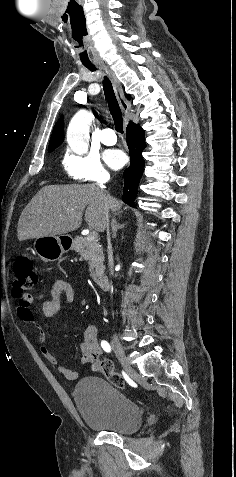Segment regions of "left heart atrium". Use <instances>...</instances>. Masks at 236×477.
<instances>
[{
  "instance_id": "left-heart-atrium-1",
  "label": "left heart atrium",
  "mask_w": 236,
  "mask_h": 477,
  "mask_svg": "<svg viewBox=\"0 0 236 477\" xmlns=\"http://www.w3.org/2000/svg\"><path fill=\"white\" fill-rule=\"evenodd\" d=\"M126 155L121 150H109L105 153V161L113 169H119L126 163Z\"/></svg>"
}]
</instances>
